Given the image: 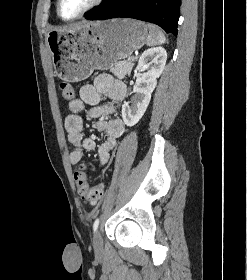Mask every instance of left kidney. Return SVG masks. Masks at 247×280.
Listing matches in <instances>:
<instances>
[{
	"label": "left kidney",
	"instance_id": "1",
	"mask_svg": "<svg viewBox=\"0 0 247 280\" xmlns=\"http://www.w3.org/2000/svg\"><path fill=\"white\" fill-rule=\"evenodd\" d=\"M167 60V52L163 47L147 49L139 58L135 74L139 77L133 87L135 95L131 102L122 105V118L124 123L131 127L139 122L144 115L157 78L162 74ZM147 70L141 73L143 70Z\"/></svg>",
	"mask_w": 247,
	"mask_h": 280
}]
</instances>
